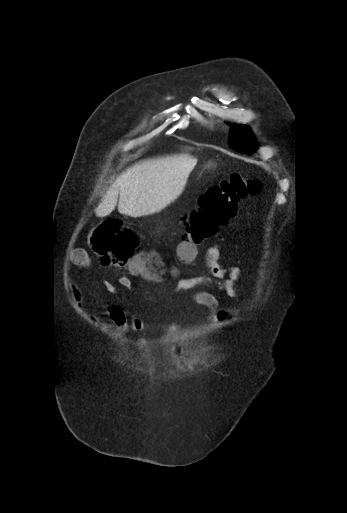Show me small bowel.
Instances as JSON below:
<instances>
[{"mask_svg": "<svg viewBox=\"0 0 347 513\" xmlns=\"http://www.w3.org/2000/svg\"><path fill=\"white\" fill-rule=\"evenodd\" d=\"M216 239L218 243L208 248L204 256L208 275L193 278H178L174 289L176 293L192 292L194 303L207 311V317L211 322L229 319L231 312L220 309L217 297L207 288H216L232 299H243L241 287L244 276L243 270L238 266L219 264L220 243L223 241V236L218 235ZM70 262L82 268H89L90 266L88 254L81 249H77L72 253ZM172 274L174 275L175 271H173ZM119 283L125 288H131L132 286L131 279L127 276L120 277ZM104 288L109 293L116 292V288L113 285L104 284ZM69 290L73 301L81 305L83 302V294L74 281H70ZM102 315L103 318H101L102 316L100 315L92 314L91 318L95 322H103L104 318L108 319L122 334L129 332L145 333L150 329L140 316L128 317L125 311L115 306H107L102 311ZM162 328L166 331H174L178 328V324L176 322H167ZM178 350L179 348L177 347L175 352Z\"/></svg>", "mask_w": 347, "mask_h": 513, "instance_id": "obj_1", "label": "small bowel"}]
</instances>
